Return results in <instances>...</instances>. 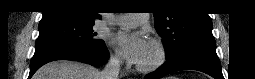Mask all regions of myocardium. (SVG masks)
I'll use <instances>...</instances> for the list:
<instances>
[{
  "instance_id": "1",
  "label": "myocardium",
  "mask_w": 255,
  "mask_h": 79,
  "mask_svg": "<svg viewBox=\"0 0 255 79\" xmlns=\"http://www.w3.org/2000/svg\"><path fill=\"white\" fill-rule=\"evenodd\" d=\"M149 45H151L153 48L156 49V52H157L156 59L153 63H151L149 65L138 64L137 70L139 72L147 73V72L156 71L160 67H162L167 60V49H166L165 45L160 40L153 38L149 41Z\"/></svg>"
}]
</instances>
